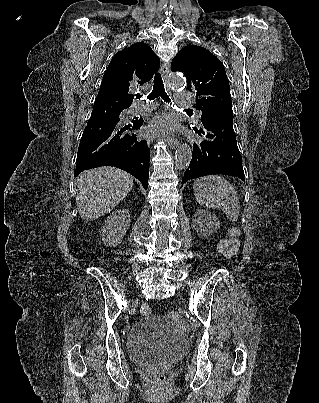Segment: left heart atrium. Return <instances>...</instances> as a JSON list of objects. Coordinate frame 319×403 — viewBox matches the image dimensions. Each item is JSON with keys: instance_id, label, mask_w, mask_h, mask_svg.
<instances>
[{"instance_id": "left-heart-atrium-1", "label": "left heart atrium", "mask_w": 319, "mask_h": 403, "mask_svg": "<svg viewBox=\"0 0 319 403\" xmlns=\"http://www.w3.org/2000/svg\"><path fill=\"white\" fill-rule=\"evenodd\" d=\"M173 126H174L173 120L168 115H161L151 122L148 131L150 133L153 132L169 133L172 131Z\"/></svg>"}]
</instances>
